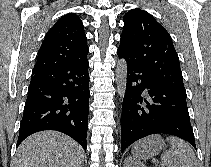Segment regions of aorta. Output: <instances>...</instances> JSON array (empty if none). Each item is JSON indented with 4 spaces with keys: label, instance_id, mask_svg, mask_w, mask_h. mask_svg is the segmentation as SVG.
Wrapping results in <instances>:
<instances>
[{
    "label": "aorta",
    "instance_id": "1",
    "mask_svg": "<svg viewBox=\"0 0 211 167\" xmlns=\"http://www.w3.org/2000/svg\"><path fill=\"white\" fill-rule=\"evenodd\" d=\"M126 76H127V64L125 59H121L118 61L116 65V83H117V91L120 96L121 101L124 98L125 90H126Z\"/></svg>",
    "mask_w": 211,
    "mask_h": 167
}]
</instances>
